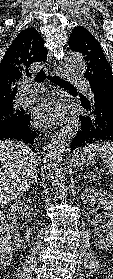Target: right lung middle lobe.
<instances>
[{"label": "right lung middle lobe", "mask_w": 113, "mask_h": 279, "mask_svg": "<svg viewBox=\"0 0 113 279\" xmlns=\"http://www.w3.org/2000/svg\"><path fill=\"white\" fill-rule=\"evenodd\" d=\"M25 114L23 109H17L13 104L0 108V126L19 123Z\"/></svg>", "instance_id": "right-lung-middle-lobe-1"}]
</instances>
